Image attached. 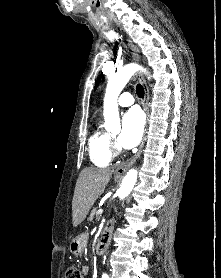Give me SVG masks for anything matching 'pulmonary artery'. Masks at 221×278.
Segmentation results:
<instances>
[{"label":"pulmonary artery","instance_id":"pulmonary-artery-1","mask_svg":"<svg viewBox=\"0 0 221 278\" xmlns=\"http://www.w3.org/2000/svg\"><path fill=\"white\" fill-rule=\"evenodd\" d=\"M134 103V97L132 94L125 92L122 93L118 98V105L122 107L130 106Z\"/></svg>","mask_w":221,"mask_h":278}]
</instances>
